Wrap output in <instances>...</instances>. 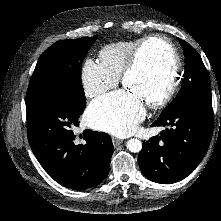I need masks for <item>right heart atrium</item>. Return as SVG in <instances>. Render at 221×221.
Here are the masks:
<instances>
[{
  "instance_id": "right-heart-atrium-1",
  "label": "right heart atrium",
  "mask_w": 221,
  "mask_h": 221,
  "mask_svg": "<svg viewBox=\"0 0 221 221\" xmlns=\"http://www.w3.org/2000/svg\"><path fill=\"white\" fill-rule=\"evenodd\" d=\"M81 79L85 93L90 98H96L115 86L117 79L105 74L98 63L87 60L81 69Z\"/></svg>"
}]
</instances>
